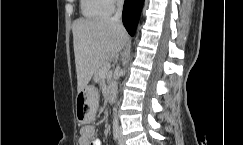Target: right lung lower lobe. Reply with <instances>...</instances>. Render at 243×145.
<instances>
[{
	"label": "right lung lower lobe",
	"mask_w": 243,
	"mask_h": 145,
	"mask_svg": "<svg viewBox=\"0 0 243 145\" xmlns=\"http://www.w3.org/2000/svg\"><path fill=\"white\" fill-rule=\"evenodd\" d=\"M144 0H125L123 24L130 35H134Z\"/></svg>",
	"instance_id": "right-lung-lower-lobe-1"
}]
</instances>
